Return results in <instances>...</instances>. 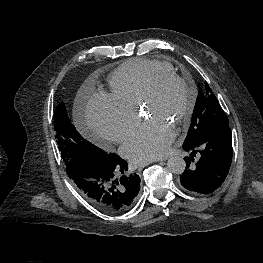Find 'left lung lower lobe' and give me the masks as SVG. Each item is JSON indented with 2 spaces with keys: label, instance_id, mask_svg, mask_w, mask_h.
Segmentation results:
<instances>
[{
  "label": "left lung lower lobe",
  "instance_id": "left-lung-lower-lobe-1",
  "mask_svg": "<svg viewBox=\"0 0 263 263\" xmlns=\"http://www.w3.org/2000/svg\"><path fill=\"white\" fill-rule=\"evenodd\" d=\"M183 149L191 152L185 157L186 168L180 176L181 185L189 192L205 195L218 189L224 182L232 162V133L229 123L218 124L204 136ZM199 150V158L192 164Z\"/></svg>",
  "mask_w": 263,
  "mask_h": 263
}]
</instances>
